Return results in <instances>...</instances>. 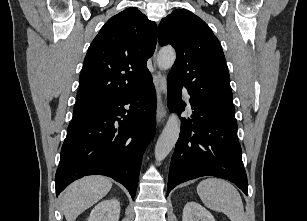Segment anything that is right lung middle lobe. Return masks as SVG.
<instances>
[{
    "label": "right lung middle lobe",
    "instance_id": "1",
    "mask_svg": "<svg viewBox=\"0 0 307 221\" xmlns=\"http://www.w3.org/2000/svg\"><path fill=\"white\" fill-rule=\"evenodd\" d=\"M101 106L102 105H86V106L75 107L72 121L79 120V119L95 112Z\"/></svg>",
    "mask_w": 307,
    "mask_h": 221
}]
</instances>
